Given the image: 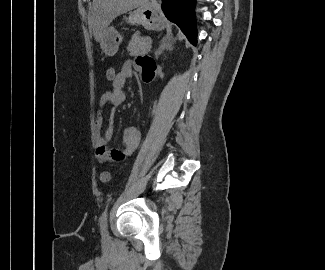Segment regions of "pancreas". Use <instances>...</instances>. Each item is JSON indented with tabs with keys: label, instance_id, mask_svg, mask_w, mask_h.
I'll return each instance as SVG.
<instances>
[{
	"label": "pancreas",
	"instance_id": "cf45deb5",
	"mask_svg": "<svg viewBox=\"0 0 325 270\" xmlns=\"http://www.w3.org/2000/svg\"><path fill=\"white\" fill-rule=\"evenodd\" d=\"M149 43V38H143L138 34H135L127 47V51L129 52L130 56L146 54L150 50Z\"/></svg>",
	"mask_w": 325,
	"mask_h": 270
}]
</instances>
